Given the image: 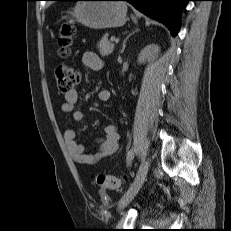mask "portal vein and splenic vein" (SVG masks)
<instances>
[{
  "label": "portal vein and splenic vein",
  "mask_w": 231,
  "mask_h": 231,
  "mask_svg": "<svg viewBox=\"0 0 231 231\" xmlns=\"http://www.w3.org/2000/svg\"><path fill=\"white\" fill-rule=\"evenodd\" d=\"M111 41H113V42H118V39H117L115 36H112V37H111Z\"/></svg>",
  "instance_id": "18ae733b"
}]
</instances>
